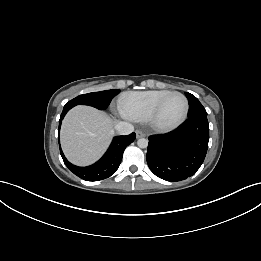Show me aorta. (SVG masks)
Here are the masks:
<instances>
[{
    "label": "aorta",
    "mask_w": 261,
    "mask_h": 261,
    "mask_svg": "<svg viewBox=\"0 0 261 261\" xmlns=\"http://www.w3.org/2000/svg\"><path fill=\"white\" fill-rule=\"evenodd\" d=\"M137 145L140 147V148H146L148 146V140L145 139V138H140L138 139L137 141Z\"/></svg>",
    "instance_id": "1"
}]
</instances>
